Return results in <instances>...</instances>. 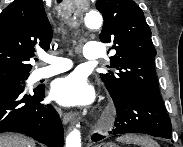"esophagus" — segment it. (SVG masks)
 Masks as SVG:
<instances>
[{
  "label": "esophagus",
  "instance_id": "1",
  "mask_svg": "<svg viewBox=\"0 0 183 147\" xmlns=\"http://www.w3.org/2000/svg\"><path fill=\"white\" fill-rule=\"evenodd\" d=\"M63 122L64 124H68L69 122H75V116L72 113H64Z\"/></svg>",
  "mask_w": 183,
  "mask_h": 147
}]
</instances>
